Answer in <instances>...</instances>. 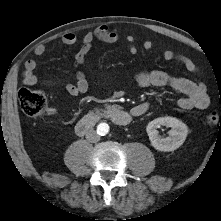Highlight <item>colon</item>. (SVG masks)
<instances>
[{"mask_svg":"<svg viewBox=\"0 0 221 221\" xmlns=\"http://www.w3.org/2000/svg\"><path fill=\"white\" fill-rule=\"evenodd\" d=\"M18 101L21 110L29 117L42 118L50 110L48 98L40 91L22 88L18 93ZM206 122L211 126L221 124V115L215 111L210 112L206 116Z\"/></svg>","mask_w":221,"mask_h":221,"instance_id":"5ec220e1","label":"colon"}]
</instances>
